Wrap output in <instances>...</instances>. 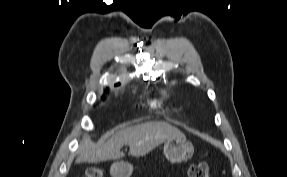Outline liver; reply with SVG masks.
Segmentation results:
<instances>
[{
    "mask_svg": "<svg viewBox=\"0 0 287 177\" xmlns=\"http://www.w3.org/2000/svg\"><path fill=\"white\" fill-rule=\"evenodd\" d=\"M175 138H185L176 127L167 122L150 121L117 131L105 143L95 145L89 138L79 146L77 162L97 163L124 157L121 148L129 146L130 156H144L161 143Z\"/></svg>",
    "mask_w": 287,
    "mask_h": 177,
    "instance_id": "liver-1",
    "label": "liver"
}]
</instances>
